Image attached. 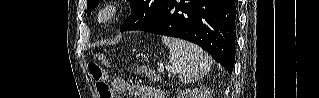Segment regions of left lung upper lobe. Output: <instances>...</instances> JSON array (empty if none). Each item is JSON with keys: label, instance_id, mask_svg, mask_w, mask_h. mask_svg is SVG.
I'll return each mask as SVG.
<instances>
[{"label": "left lung upper lobe", "instance_id": "left-lung-upper-lobe-1", "mask_svg": "<svg viewBox=\"0 0 319 98\" xmlns=\"http://www.w3.org/2000/svg\"><path fill=\"white\" fill-rule=\"evenodd\" d=\"M132 12L122 24L120 31L137 30L149 23L159 12L164 0H128ZM99 4V0H88L87 15Z\"/></svg>", "mask_w": 319, "mask_h": 98}]
</instances>
